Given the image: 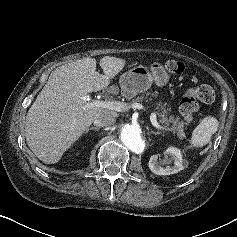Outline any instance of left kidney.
Wrapping results in <instances>:
<instances>
[{"label": "left kidney", "instance_id": "1", "mask_svg": "<svg viewBox=\"0 0 237 237\" xmlns=\"http://www.w3.org/2000/svg\"><path fill=\"white\" fill-rule=\"evenodd\" d=\"M168 155L170 158H168ZM172 162L173 166H168ZM148 165L150 170L157 175L175 174L184 169L181 151L175 147L167 149L165 159L163 160L160 159V155H152Z\"/></svg>", "mask_w": 237, "mask_h": 237}]
</instances>
